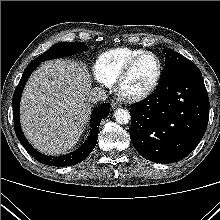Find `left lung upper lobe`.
<instances>
[{"label": "left lung upper lobe", "instance_id": "5c2ea615", "mask_svg": "<svg viewBox=\"0 0 220 220\" xmlns=\"http://www.w3.org/2000/svg\"><path fill=\"white\" fill-rule=\"evenodd\" d=\"M166 55H165V65L170 66L173 64H178V63H186L189 62L186 57L183 55L173 51L172 49H165Z\"/></svg>", "mask_w": 220, "mask_h": 220}]
</instances>
